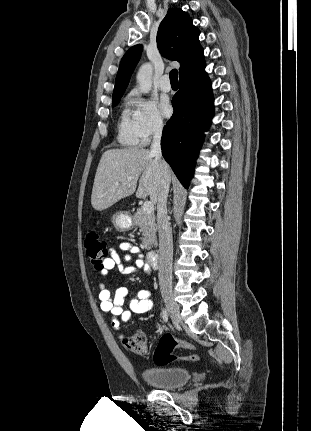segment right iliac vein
I'll list each match as a JSON object with an SVG mask.
<instances>
[{"instance_id":"63e3f726","label":"right iliac vein","mask_w":311,"mask_h":431,"mask_svg":"<svg viewBox=\"0 0 311 431\" xmlns=\"http://www.w3.org/2000/svg\"><path fill=\"white\" fill-rule=\"evenodd\" d=\"M162 297L174 323L179 325L181 323V317L178 304L174 301L169 292H163Z\"/></svg>"}]
</instances>
